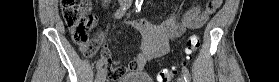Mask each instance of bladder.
<instances>
[{
  "label": "bladder",
  "instance_id": "obj_1",
  "mask_svg": "<svg viewBox=\"0 0 279 82\" xmlns=\"http://www.w3.org/2000/svg\"><path fill=\"white\" fill-rule=\"evenodd\" d=\"M115 82H153L145 72H130L123 77L115 80Z\"/></svg>",
  "mask_w": 279,
  "mask_h": 82
}]
</instances>
